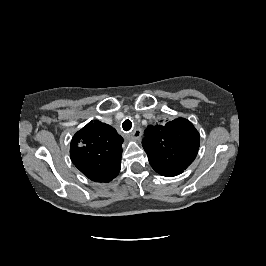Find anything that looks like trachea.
<instances>
[{
	"instance_id": "1",
	"label": "trachea",
	"mask_w": 266,
	"mask_h": 266,
	"mask_svg": "<svg viewBox=\"0 0 266 266\" xmlns=\"http://www.w3.org/2000/svg\"><path fill=\"white\" fill-rule=\"evenodd\" d=\"M122 128L123 130L125 131H129L131 128H132V122L130 120H125L123 123H122Z\"/></svg>"
}]
</instances>
